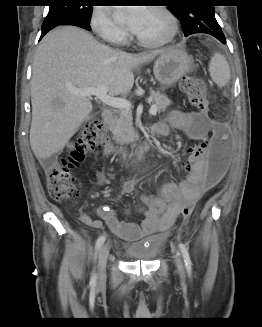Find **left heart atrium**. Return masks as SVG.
Instances as JSON below:
<instances>
[{
  "label": "left heart atrium",
  "mask_w": 262,
  "mask_h": 327,
  "mask_svg": "<svg viewBox=\"0 0 262 327\" xmlns=\"http://www.w3.org/2000/svg\"><path fill=\"white\" fill-rule=\"evenodd\" d=\"M148 11L149 8L133 6L119 9L118 14L131 30L137 31Z\"/></svg>",
  "instance_id": "39dd6f15"
}]
</instances>
